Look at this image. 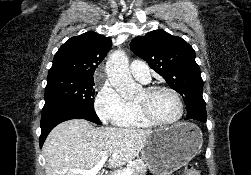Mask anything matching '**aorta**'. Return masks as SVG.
Returning <instances> with one entry per match:
<instances>
[{
    "label": "aorta",
    "instance_id": "aorta-1",
    "mask_svg": "<svg viewBox=\"0 0 251 175\" xmlns=\"http://www.w3.org/2000/svg\"><path fill=\"white\" fill-rule=\"evenodd\" d=\"M106 72L111 86L123 97H130L140 88V84H135L129 72L128 58L123 50H116L109 56Z\"/></svg>",
    "mask_w": 251,
    "mask_h": 175
}]
</instances>
